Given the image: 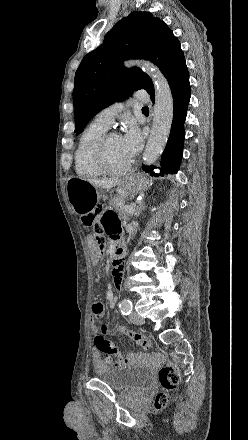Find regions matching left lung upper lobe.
I'll return each instance as SVG.
<instances>
[{"mask_svg": "<svg viewBox=\"0 0 248 440\" xmlns=\"http://www.w3.org/2000/svg\"><path fill=\"white\" fill-rule=\"evenodd\" d=\"M150 60L165 75L170 87L189 77L178 39L164 21L149 12H133L105 35L104 42L87 54L75 73L73 91L75 133L115 101L145 89L154 97L148 75L137 67L125 68L124 60Z\"/></svg>", "mask_w": 248, "mask_h": 440, "instance_id": "5c2ea615", "label": "left lung upper lobe"}]
</instances>
